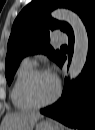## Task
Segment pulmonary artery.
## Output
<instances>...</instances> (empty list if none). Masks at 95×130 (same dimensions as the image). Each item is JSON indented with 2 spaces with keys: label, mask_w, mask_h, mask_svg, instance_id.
I'll use <instances>...</instances> for the list:
<instances>
[{
  "label": "pulmonary artery",
  "mask_w": 95,
  "mask_h": 130,
  "mask_svg": "<svg viewBox=\"0 0 95 130\" xmlns=\"http://www.w3.org/2000/svg\"><path fill=\"white\" fill-rule=\"evenodd\" d=\"M54 40L59 43H65L67 41V35L64 32H57L54 35ZM23 61L32 65L34 64V60L31 57H26Z\"/></svg>",
  "instance_id": "e3ab8cb5"
}]
</instances>
